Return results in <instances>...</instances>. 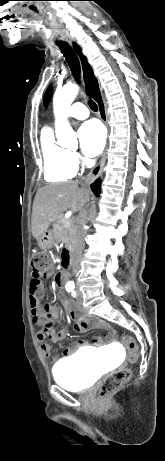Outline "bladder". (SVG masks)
Returning <instances> with one entry per match:
<instances>
[{"mask_svg":"<svg viewBox=\"0 0 165 461\" xmlns=\"http://www.w3.org/2000/svg\"><path fill=\"white\" fill-rule=\"evenodd\" d=\"M92 353L79 351L56 363L52 369L56 383L72 391H81L91 387L106 370V360L91 358Z\"/></svg>","mask_w":165,"mask_h":461,"instance_id":"bladder-1","label":"bladder"}]
</instances>
